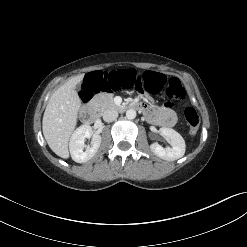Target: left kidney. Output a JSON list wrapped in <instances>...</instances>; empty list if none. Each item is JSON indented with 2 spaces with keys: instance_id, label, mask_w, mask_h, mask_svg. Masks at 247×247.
I'll return each instance as SVG.
<instances>
[{
  "instance_id": "obj_1",
  "label": "left kidney",
  "mask_w": 247,
  "mask_h": 247,
  "mask_svg": "<svg viewBox=\"0 0 247 247\" xmlns=\"http://www.w3.org/2000/svg\"><path fill=\"white\" fill-rule=\"evenodd\" d=\"M159 134L171 140L172 148H163L160 144L154 142L150 145V149L156 156L164 160L174 161L184 155L186 150L185 141L177 131L171 128L161 127Z\"/></svg>"
}]
</instances>
